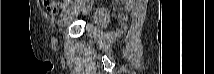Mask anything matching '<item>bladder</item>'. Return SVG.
<instances>
[{"instance_id":"bladder-1","label":"bladder","mask_w":214,"mask_h":74,"mask_svg":"<svg viewBox=\"0 0 214 74\" xmlns=\"http://www.w3.org/2000/svg\"><path fill=\"white\" fill-rule=\"evenodd\" d=\"M107 19V15L101 11H94L89 15V24L93 27L101 25Z\"/></svg>"}]
</instances>
